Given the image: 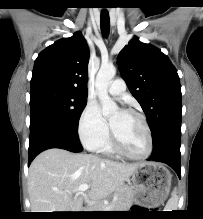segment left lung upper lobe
<instances>
[{"label":"left lung upper lobe","mask_w":203,"mask_h":219,"mask_svg":"<svg viewBox=\"0 0 203 219\" xmlns=\"http://www.w3.org/2000/svg\"><path fill=\"white\" fill-rule=\"evenodd\" d=\"M123 79L147 116L153 145L181 126V87L175 67L158 48L134 37L117 57Z\"/></svg>","instance_id":"1"}]
</instances>
